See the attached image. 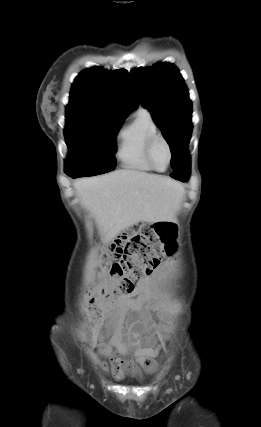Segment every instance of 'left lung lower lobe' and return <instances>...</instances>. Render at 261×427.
<instances>
[{"label": "left lung lower lobe", "instance_id": "1", "mask_svg": "<svg viewBox=\"0 0 261 427\" xmlns=\"http://www.w3.org/2000/svg\"><path fill=\"white\" fill-rule=\"evenodd\" d=\"M170 176L182 182H185L188 180L190 176V156L187 154V152L182 165L176 168Z\"/></svg>", "mask_w": 261, "mask_h": 427}]
</instances>
